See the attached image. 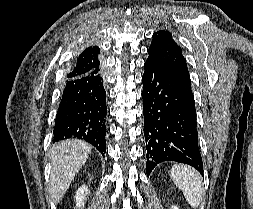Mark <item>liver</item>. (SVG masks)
Segmentation results:
<instances>
[{
	"instance_id": "1",
	"label": "liver",
	"mask_w": 253,
	"mask_h": 209,
	"mask_svg": "<svg viewBox=\"0 0 253 209\" xmlns=\"http://www.w3.org/2000/svg\"><path fill=\"white\" fill-rule=\"evenodd\" d=\"M91 151V145L77 139L64 140L52 147L48 191L54 203L57 204L62 200L76 173L89 158Z\"/></svg>"
}]
</instances>
